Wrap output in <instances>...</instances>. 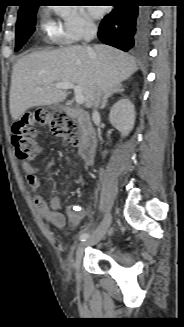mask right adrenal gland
<instances>
[{
  "instance_id": "obj_1",
  "label": "right adrenal gland",
  "mask_w": 184,
  "mask_h": 327,
  "mask_svg": "<svg viewBox=\"0 0 184 327\" xmlns=\"http://www.w3.org/2000/svg\"><path fill=\"white\" fill-rule=\"evenodd\" d=\"M123 92H124V88L121 84L111 88L108 92L105 93L100 109H104L106 107L108 99L111 98L114 94L123 93Z\"/></svg>"
}]
</instances>
